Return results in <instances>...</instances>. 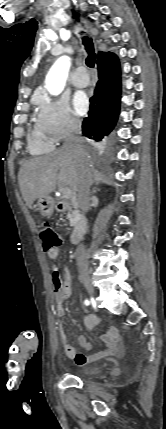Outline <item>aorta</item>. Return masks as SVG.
Here are the masks:
<instances>
[{"label": "aorta", "mask_w": 166, "mask_h": 429, "mask_svg": "<svg viewBox=\"0 0 166 429\" xmlns=\"http://www.w3.org/2000/svg\"><path fill=\"white\" fill-rule=\"evenodd\" d=\"M70 65V58L68 56H62L50 69L46 76L45 84L46 89L51 95L57 96L63 91Z\"/></svg>", "instance_id": "762f6f07"}]
</instances>
